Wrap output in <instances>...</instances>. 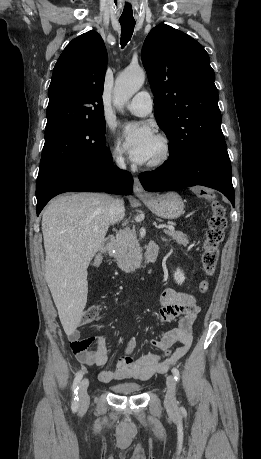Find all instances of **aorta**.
I'll return each mask as SVG.
<instances>
[{
  "label": "aorta",
  "mask_w": 261,
  "mask_h": 459,
  "mask_svg": "<svg viewBox=\"0 0 261 459\" xmlns=\"http://www.w3.org/2000/svg\"><path fill=\"white\" fill-rule=\"evenodd\" d=\"M145 81V72L141 68H128L115 81L113 102L119 109L139 91Z\"/></svg>",
  "instance_id": "aorta-1"
}]
</instances>
